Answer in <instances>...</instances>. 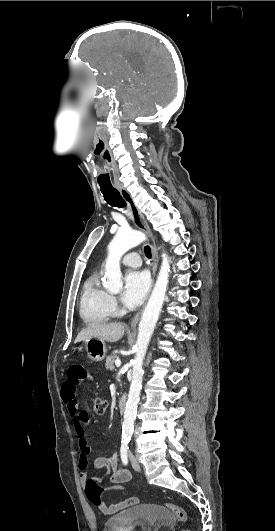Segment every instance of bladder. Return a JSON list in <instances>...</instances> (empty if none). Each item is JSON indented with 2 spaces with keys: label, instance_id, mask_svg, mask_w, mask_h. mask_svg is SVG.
Listing matches in <instances>:
<instances>
[{
  "label": "bladder",
  "instance_id": "31cf9c89",
  "mask_svg": "<svg viewBox=\"0 0 275 531\" xmlns=\"http://www.w3.org/2000/svg\"><path fill=\"white\" fill-rule=\"evenodd\" d=\"M174 515L160 503L138 504L103 522V531H173Z\"/></svg>",
  "mask_w": 275,
  "mask_h": 531
}]
</instances>
